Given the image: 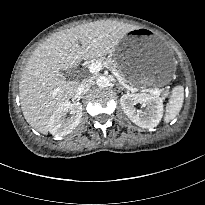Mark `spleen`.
I'll return each mask as SVG.
<instances>
[{
    "mask_svg": "<svg viewBox=\"0 0 205 205\" xmlns=\"http://www.w3.org/2000/svg\"><path fill=\"white\" fill-rule=\"evenodd\" d=\"M184 100L183 86H176L173 88L170 99L166 105V114L164 121L166 123L173 120L180 112Z\"/></svg>",
    "mask_w": 205,
    "mask_h": 205,
    "instance_id": "spleen-1",
    "label": "spleen"
}]
</instances>
